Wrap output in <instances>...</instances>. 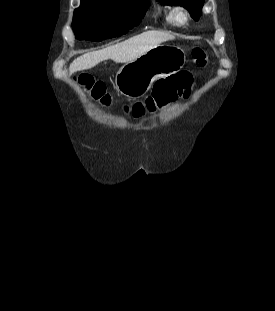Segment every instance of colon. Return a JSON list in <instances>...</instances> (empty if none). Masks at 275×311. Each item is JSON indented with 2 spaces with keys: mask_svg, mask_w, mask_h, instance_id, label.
<instances>
[{
  "mask_svg": "<svg viewBox=\"0 0 275 311\" xmlns=\"http://www.w3.org/2000/svg\"><path fill=\"white\" fill-rule=\"evenodd\" d=\"M192 57L198 66L203 67L207 62V55L200 47H195L192 50ZM84 85L93 87L97 97L101 98L104 103H108L110 98L106 93L105 86L100 82H94L87 74H82L79 78ZM192 82V77L187 72L175 74L166 80L158 81L154 88L152 95L149 96L144 104H136L134 110L141 113L143 110L154 111L157 107L166 103L174 101L178 96L182 95L185 88Z\"/></svg>",
  "mask_w": 275,
  "mask_h": 311,
  "instance_id": "colon-1",
  "label": "colon"
}]
</instances>
